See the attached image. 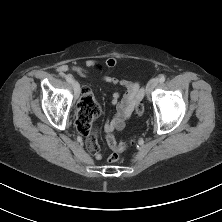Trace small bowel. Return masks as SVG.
<instances>
[{"instance_id": "small-bowel-1", "label": "small bowel", "mask_w": 222, "mask_h": 222, "mask_svg": "<svg viewBox=\"0 0 222 222\" xmlns=\"http://www.w3.org/2000/svg\"><path fill=\"white\" fill-rule=\"evenodd\" d=\"M117 61L115 58H109L105 61L107 67H114ZM99 67V63L96 60H87L85 67L82 66H69L67 64H62L57 67V71L60 73L72 70L78 75L85 77L89 73V69H95ZM104 80L110 84L121 87L124 90V94L121 97L120 93L116 91L112 95V105L116 107L115 115L109 119L105 124V130L115 131L122 130L127 121L131 118L136 104L143 98L144 92L139 84L125 80L118 79L115 77L106 76ZM94 121V120H93ZM93 121L88 128L87 135V146L93 151L94 157L100 160L103 154L97 147V132L93 128Z\"/></svg>"}]
</instances>
